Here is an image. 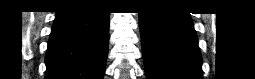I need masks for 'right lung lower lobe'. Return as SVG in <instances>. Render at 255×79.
Returning <instances> with one entry per match:
<instances>
[{"instance_id":"obj_1","label":"right lung lower lobe","mask_w":255,"mask_h":79,"mask_svg":"<svg viewBox=\"0 0 255 79\" xmlns=\"http://www.w3.org/2000/svg\"><path fill=\"white\" fill-rule=\"evenodd\" d=\"M108 41V12L87 6L56 12L45 79H103Z\"/></svg>"}]
</instances>
